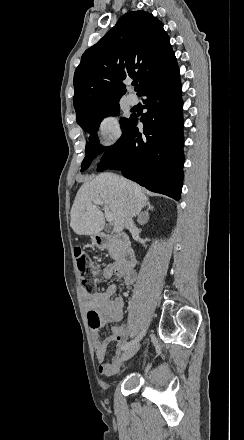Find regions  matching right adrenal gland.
Returning a JSON list of instances; mask_svg holds the SVG:
<instances>
[{
  "instance_id": "1",
  "label": "right adrenal gland",
  "mask_w": 244,
  "mask_h": 440,
  "mask_svg": "<svg viewBox=\"0 0 244 440\" xmlns=\"http://www.w3.org/2000/svg\"><path fill=\"white\" fill-rule=\"evenodd\" d=\"M146 208H147V210H145V212H140V214H137V216H138L137 222H139L141 216H145V214H148L149 210H153V206H150V204H147ZM139 224H140V222H139ZM141 226H142V224H141Z\"/></svg>"
}]
</instances>
